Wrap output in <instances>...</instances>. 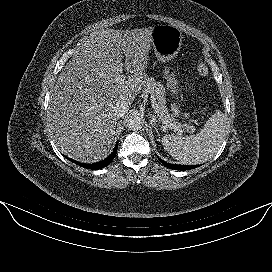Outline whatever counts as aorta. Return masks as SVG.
<instances>
[{"mask_svg":"<svg viewBox=\"0 0 272 272\" xmlns=\"http://www.w3.org/2000/svg\"><path fill=\"white\" fill-rule=\"evenodd\" d=\"M127 127L130 130L137 131L143 127V120L139 116H131L127 122Z\"/></svg>","mask_w":272,"mask_h":272,"instance_id":"1","label":"aorta"}]
</instances>
